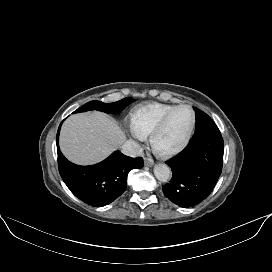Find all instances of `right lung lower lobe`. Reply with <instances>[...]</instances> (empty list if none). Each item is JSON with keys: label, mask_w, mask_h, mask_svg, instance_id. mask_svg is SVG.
I'll use <instances>...</instances> for the list:
<instances>
[{"label": "right lung lower lobe", "mask_w": 272, "mask_h": 272, "mask_svg": "<svg viewBox=\"0 0 272 272\" xmlns=\"http://www.w3.org/2000/svg\"><path fill=\"white\" fill-rule=\"evenodd\" d=\"M61 124L57 132L56 143L58 168L64 183L76 197L91 206L102 207L110 204L125 191L129 171L143 167V159L128 157L116 151L95 165L73 164L63 156L59 149Z\"/></svg>", "instance_id": "98d812e1"}]
</instances>
